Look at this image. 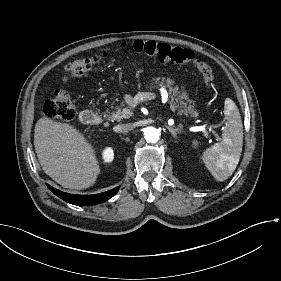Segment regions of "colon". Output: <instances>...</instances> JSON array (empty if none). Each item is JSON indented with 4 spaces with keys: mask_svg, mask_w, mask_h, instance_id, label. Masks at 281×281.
Segmentation results:
<instances>
[{
    "mask_svg": "<svg viewBox=\"0 0 281 281\" xmlns=\"http://www.w3.org/2000/svg\"><path fill=\"white\" fill-rule=\"evenodd\" d=\"M120 50L147 55L163 63H189L200 71L206 82L211 83L214 79L212 69L206 63L196 59L187 49L173 47L166 43L139 40L123 43ZM102 56H107V53H104ZM99 62V56L77 58L67 64L66 72L71 77L86 76ZM42 111L45 118L65 122L73 120L76 115L75 104L67 92H56L52 98L45 101Z\"/></svg>",
    "mask_w": 281,
    "mask_h": 281,
    "instance_id": "obj_1",
    "label": "colon"
}]
</instances>
